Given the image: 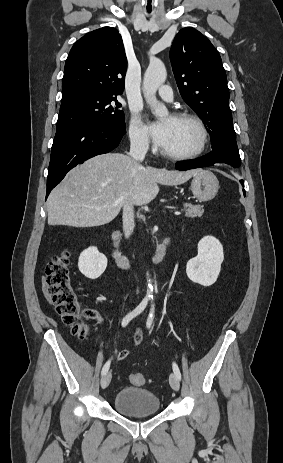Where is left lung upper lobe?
<instances>
[{
  "label": "left lung upper lobe",
  "instance_id": "obj_1",
  "mask_svg": "<svg viewBox=\"0 0 283 463\" xmlns=\"http://www.w3.org/2000/svg\"><path fill=\"white\" fill-rule=\"evenodd\" d=\"M170 60L181 96L203 119L210 133L212 151L241 161L229 108L227 77L218 51L203 34L186 27L172 43Z\"/></svg>",
  "mask_w": 283,
  "mask_h": 463
}]
</instances>
